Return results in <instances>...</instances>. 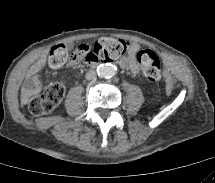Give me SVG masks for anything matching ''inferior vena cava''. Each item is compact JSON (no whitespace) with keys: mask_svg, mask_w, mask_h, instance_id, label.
<instances>
[{"mask_svg":"<svg viewBox=\"0 0 215 183\" xmlns=\"http://www.w3.org/2000/svg\"><path fill=\"white\" fill-rule=\"evenodd\" d=\"M86 79L87 80H93L96 79V72L94 70H90L86 73Z\"/></svg>","mask_w":215,"mask_h":183,"instance_id":"1","label":"inferior vena cava"}]
</instances>
